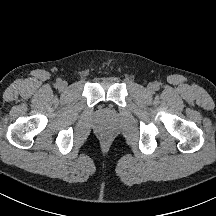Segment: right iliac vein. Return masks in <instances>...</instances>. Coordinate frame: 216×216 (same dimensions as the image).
I'll list each match as a JSON object with an SVG mask.
<instances>
[{"mask_svg":"<svg viewBox=\"0 0 216 216\" xmlns=\"http://www.w3.org/2000/svg\"><path fill=\"white\" fill-rule=\"evenodd\" d=\"M67 87V82L66 81H61L59 84L60 89H65Z\"/></svg>","mask_w":216,"mask_h":216,"instance_id":"1","label":"right iliac vein"}]
</instances>
